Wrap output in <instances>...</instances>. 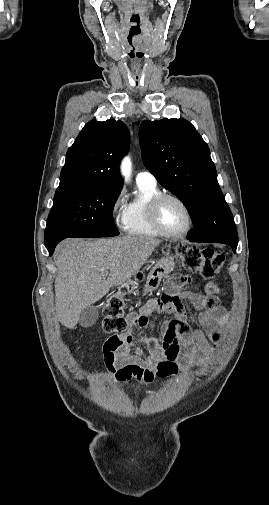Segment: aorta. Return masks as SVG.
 Listing matches in <instances>:
<instances>
[{
	"mask_svg": "<svg viewBox=\"0 0 269 505\" xmlns=\"http://www.w3.org/2000/svg\"><path fill=\"white\" fill-rule=\"evenodd\" d=\"M121 173L126 181L129 180L131 175V160L129 157L123 159L121 163Z\"/></svg>",
	"mask_w": 269,
	"mask_h": 505,
	"instance_id": "762f6f07",
	"label": "aorta"
}]
</instances>
